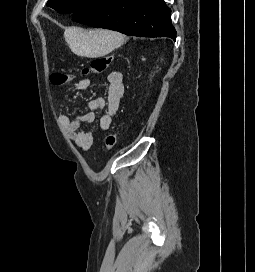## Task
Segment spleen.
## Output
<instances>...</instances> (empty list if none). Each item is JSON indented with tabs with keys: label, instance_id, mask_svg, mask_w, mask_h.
I'll return each mask as SVG.
<instances>
[{
	"label": "spleen",
	"instance_id": "1",
	"mask_svg": "<svg viewBox=\"0 0 255 272\" xmlns=\"http://www.w3.org/2000/svg\"><path fill=\"white\" fill-rule=\"evenodd\" d=\"M64 36L75 54L92 58L104 56L124 42L122 34L102 29L85 30L80 27H70L65 30Z\"/></svg>",
	"mask_w": 255,
	"mask_h": 272
}]
</instances>
